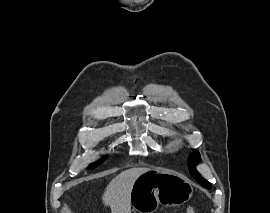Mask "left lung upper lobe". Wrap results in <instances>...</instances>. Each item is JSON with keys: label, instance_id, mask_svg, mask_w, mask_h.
Returning <instances> with one entry per match:
<instances>
[{"label": "left lung upper lobe", "instance_id": "left-lung-upper-lobe-1", "mask_svg": "<svg viewBox=\"0 0 270 213\" xmlns=\"http://www.w3.org/2000/svg\"><path fill=\"white\" fill-rule=\"evenodd\" d=\"M200 154L197 150H194L193 153L190 155L189 157V163H188V167H189V171L190 174L193 178H195L197 180L198 183H200L203 187L211 189V184L205 180L195 169V166L197 165V163L200 160Z\"/></svg>", "mask_w": 270, "mask_h": 213}]
</instances>
